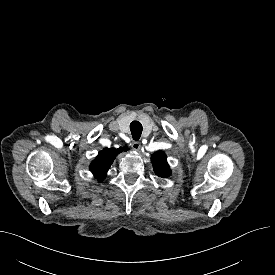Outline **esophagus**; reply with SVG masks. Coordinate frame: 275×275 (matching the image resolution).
Listing matches in <instances>:
<instances>
[{
    "label": "esophagus",
    "instance_id": "esophagus-1",
    "mask_svg": "<svg viewBox=\"0 0 275 275\" xmlns=\"http://www.w3.org/2000/svg\"><path fill=\"white\" fill-rule=\"evenodd\" d=\"M131 146L134 150L138 151L141 147V144L138 141H134V142H132Z\"/></svg>",
    "mask_w": 275,
    "mask_h": 275
}]
</instances>
